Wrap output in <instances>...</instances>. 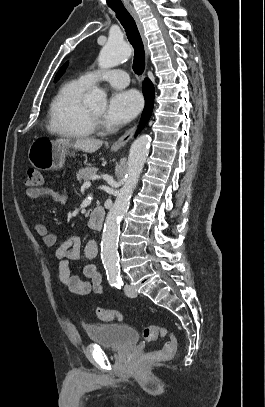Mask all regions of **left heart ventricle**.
I'll list each match as a JSON object with an SVG mask.
<instances>
[{
    "label": "left heart ventricle",
    "instance_id": "left-heart-ventricle-1",
    "mask_svg": "<svg viewBox=\"0 0 265 407\" xmlns=\"http://www.w3.org/2000/svg\"><path fill=\"white\" fill-rule=\"evenodd\" d=\"M104 109H105L104 106L90 108L91 111H93L95 114H97L99 116L103 115Z\"/></svg>",
    "mask_w": 265,
    "mask_h": 407
}]
</instances>
